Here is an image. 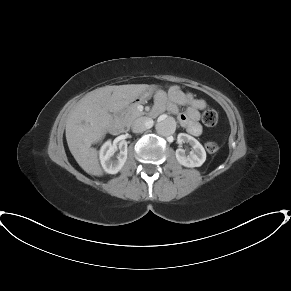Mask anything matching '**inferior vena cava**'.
<instances>
[{
    "mask_svg": "<svg viewBox=\"0 0 291 291\" xmlns=\"http://www.w3.org/2000/svg\"><path fill=\"white\" fill-rule=\"evenodd\" d=\"M153 126V120L148 117H140L133 121L132 123V131L134 133L143 132Z\"/></svg>",
    "mask_w": 291,
    "mask_h": 291,
    "instance_id": "obj_1",
    "label": "inferior vena cava"
}]
</instances>
